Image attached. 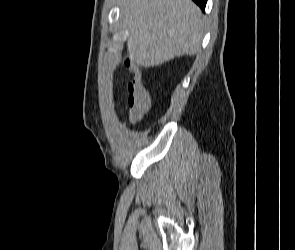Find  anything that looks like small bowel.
<instances>
[{
    "mask_svg": "<svg viewBox=\"0 0 295 250\" xmlns=\"http://www.w3.org/2000/svg\"><path fill=\"white\" fill-rule=\"evenodd\" d=\"M126 64L127 66L130 68V70L133 72L134 77H142L141 71L139 70V68L137 66H135L133 64V62H131L129 59L126 60Z\"/></svg>",
    "mask_w": 295,
    "mask_h": 250,
    "instance_id": "1",
    "label": "small bowel"
}]
</instances>
